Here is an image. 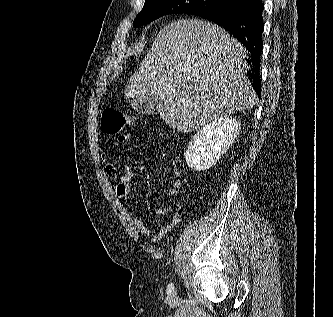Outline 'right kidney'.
<instances>
[{
	"instance_id": "ca27d5eb",
	"label": "right kidney",
	"mask_w": 333,
	"mask_h": 317,
	"mask_svg": "<svg viewBox=\"0 0 333 317\" xmlns=\"http://www.w3.org/2000/svg\"><path fill=\"white\" fill-rule=\"evenodd\" d=\"M241 123L232 117H220L201 128L185 152L187 165L200 172L214 166L235 141Z\"/></svg>"
}]
</instances>
